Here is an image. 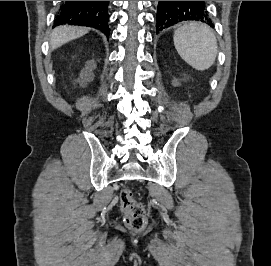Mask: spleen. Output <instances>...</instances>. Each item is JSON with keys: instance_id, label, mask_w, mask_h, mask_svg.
<instances>
[{"instance_id": "obj_1", "label": "spleen", "mask_w": 271, "mask_h": 266, "mask_svg": "<svg viewBox=\"0 0 271 266\" xmlns=\"http://www.w3.org/2000/svg\"><path fill=\"white\" fill-rule=\"evenodd\" d=\"M173 40L180 57L194 69L205 71L214 64L218 44L213 30L206 24H186L175 31Z\"/></svg>"}]
</instances>
